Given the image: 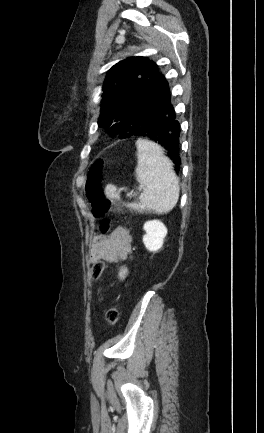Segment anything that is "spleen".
Here are the masks:
<instances>
[{
	"instance_id": "spleen-1",
	"label": "spleen",
	"mask_w": 264,
	"mask_h": 433,
	"mask_svg": "<svg viewBox=\"0 0 264 433\" xmlns=\"http://www.w3.org/2000/svg\"><path fill=\"white\" fill-rule=\"evenodd\" d=\"M137 181L143 187L139 202L127 206L139 212L158 214L170 212L179 198V181L173 171L171 160L163 149L148 139H137ZM123 188L108 184L105 193L110 199H120Z\"/></svg>"
}]
</instances>
